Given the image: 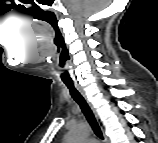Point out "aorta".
Returning <instances> with one entry per match:
<instances>
[{"instance_id": "aorta-1", "label": "aorta", "mask_w": 158, "mask_h": 143, "mask_svg": "<svg viewBox=\"0 0 158 143\" xmlns=\"http://www.w3.org/2000/svg\"><path fill=\"white\" fill-rule=\"evenodd\" d=\"M88 133V127L85 123L77 124L72 130L70 131L68 141L69 142H80Z\"/></svg>"}]
</instances>
